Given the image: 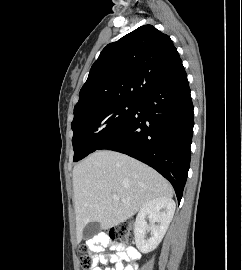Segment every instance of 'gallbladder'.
<instances>
[{
	"label": "gallbladder",
	"mask_w": 242,
	"mask_h": 270,
	"mask_svg": "<svg viewBox=\"0 0 242 270\" xmlns=\"http://www.w3.org/2000/svg\"><path fill=\"white\" fill-rule=\"evenodd\" d=\"M101 229V226L99 224V222H90L88 223L84 230H83V234L85 238H90L91 236H93L94 234H96L97 232H99Z\"/></svg>",
	"instance_id": "obj_1"
}]
</instances>
